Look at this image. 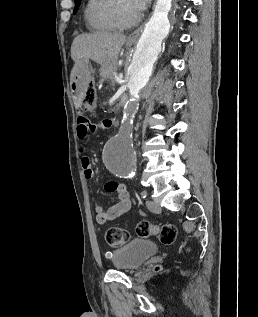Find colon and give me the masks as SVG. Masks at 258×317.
Segmentation results:
<instances>
[{
	"mask_svg": "<svg viewBox=\"0 0 258 317\" xmlns=\"http://www.w3.org/2000/svg\"><path fill=\"white\" fill-rule=\"evenodd\" d=\"M96 88L93 82L87 83L82 88L81 105L84 109L91 111L96 105ZM136 233L140 237L157 236L163 244H172L177 235V230L172 224L162 226L152 225L149 222H140L136 226ZM106 242L112 247H119L130 239V233L127 230L112 227L107 230L105 236Z\"/></svg>",
	"mask_w": 258,
	"mask_h": 317,
	"instance_id": "5ec220e1",
	"label": "colon"
}]
</instances>
